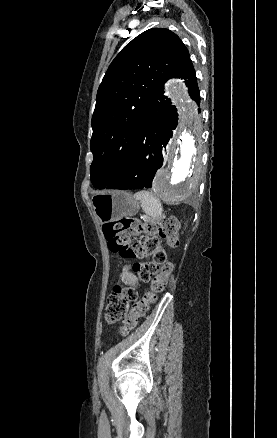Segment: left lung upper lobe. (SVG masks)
Returning <instances> with one entry per match:
<instances>
[{"label": "left lung upper lobe", "instance_id": "left-lung-upper-lobe-1", "mask_svg": "<svg viewBox=\"0 0 277 438\" xmlns=\"http://www.w3.org/2000/svg\"><path fill=\"white\" fill-rule=\"evenodd\" d=\"M183 78L190 96L199 103L195 70L187 48L168 29H149L128 43L110 64L97 92L90 148L94 160L91 181L107 188L129 162L141 116L152 98H162L163 84Z\"/></svg>", "mask_w": 277, "mask_h": 438}]
</instances>
